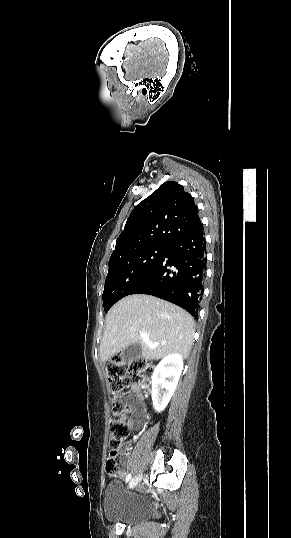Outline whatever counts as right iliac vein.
I'll use <instances>...</instances> for the list:
<instances>
[{"instance_id":"1","label":"right iliac vein","mask_w":291,"mask_h":538,"mask_svg":"<svg viewBox=\"0 0 291 538\" xmlns=\"http://www.w3.org/2000/svg\"><path fill=\"white\" fill-rule=\"evenodd\" d=\"M141 481V475H137L135 476L132 481L130 482L129 484V487L130 488H134L138 485V483Z\"/></svg>"}]
</instances>
